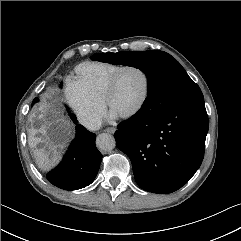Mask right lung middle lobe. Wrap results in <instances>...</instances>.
<instances>
[{
    "label": "right lung middle lobe",
    "instance_id": "dd1d6c3e",
    "mask_svg": "<svg viewBox=\"0 0 241 241\" xmlns=\"http://www.w3.org/2000/svg\"><path fill=\"white\" fill-rule=\"evenodd\" d=\"M36 102H38V98H35V99L33 100L32 105H33L34 103H36ZM70 116L72 117V116H73V114H70Z\"/></svg>",
    "mask_w": 241,
    "mask_h": 241
}]
</instances>
